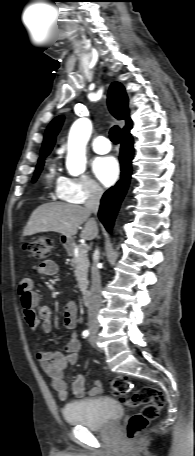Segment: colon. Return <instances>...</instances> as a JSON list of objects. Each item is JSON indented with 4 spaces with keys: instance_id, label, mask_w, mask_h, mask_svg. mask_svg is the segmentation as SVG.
I'll return each instance as SVG.
<instances>
[{
    "instance_id": "1",
    "label": "colon",
    "mask_w": 195,
    "mask_h": 456,
    "mask_svg": "<svg viewBox=\"0 0 195 456\" xmlns=\"http://www.w3.org/2000/svg\"><path fill=\"white\" fill-rule=\"evenodd\" d=\"M53 241L49 237H39L24 244V250L38 259H45L51 253ZM112 393L123 403L142 409L132 415L127 424V438L135 440L155 419L165 404V394L154 387L145 386L131 393V384L127 377L116 376L111 380Z\"/></svg>"
}]
</instances>
